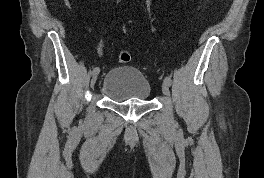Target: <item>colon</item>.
I'll return each instance as SVG.
<instances>
[{
    "label": "colon",
    "mask_w": 264,
    "mask_h": 178,
    "mask_svg": "<svg viewBox=\"0 0 264 178\" xmlns=\"http://www.w3.org/2000/svg\"><path fill=\"white\" fill-rule=\"evenodd\" d=\"M118 60L120 63H128L131 61V54L127 51H122L118 55Z\"/></svg>",
    "instance_id": "colon-1"
}]
</instances>
